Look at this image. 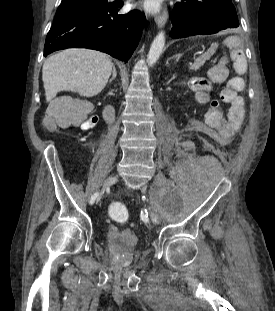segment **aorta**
I'll return each mask as SVG.
<instances>
[{
	"mask_svg": "<svg viewBox=\"0 0 275 311\" xmlns=\"http://www.w3.org/2000/svg\"><path fill=\"white\" fill-rule=\"evenodd\" d=\"M164 45H165V34L163 31H161L160 33H158V35L155 37V39L151 44L147 57L148 65L152 66L157 62L162 53Z\"/></svg>",
	"mask_w": 275,
	"mask_h": 311,
	"instance_id": "762f6f07",
	"label": "aorta"
}]
</instances>
